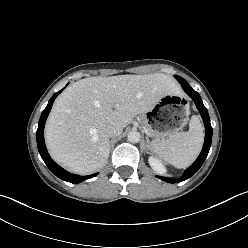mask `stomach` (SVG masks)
Wrapping results in <instances>:
<instances>
[{
  "label": "stomach",
  "mask_w": 248,
  "mask_h": 248,
  "mask_svg": "<svg viewBox=\"0 0 248 248\" xmlns=\"http://www.w3.org/2000/svg\"><path fill=\"white\" fill-rule=\"evenodd\" d=\"M189 107L186 98L180 93H168L161 97L155 106L143 114V124L153 144L169 138L187 123Z\"/></svg>",
  "instance_id": "0dacf381"
}]
</instances>
